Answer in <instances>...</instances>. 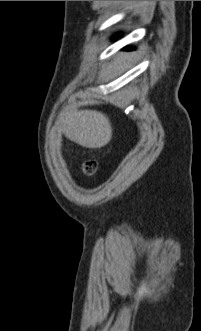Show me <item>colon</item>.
Masks as SVG:
<instances>
[{"label":"colon","instance_id":"1","mask_svg":"<svg viewBox=\"0 0 201 331\" xmlns=\"http://www.w3.org/2000/svg\"><path fill=\"white\" fill-rule=\"evenodd\" d=\"M95 169H96V164L92 160L87 161L83 166V170L87 175H92L95 172Z\"/></svg>","mask_w":201,"mask_h":331}]
</instances>
